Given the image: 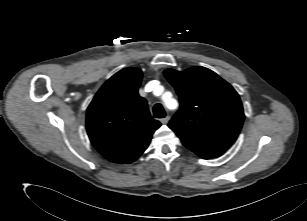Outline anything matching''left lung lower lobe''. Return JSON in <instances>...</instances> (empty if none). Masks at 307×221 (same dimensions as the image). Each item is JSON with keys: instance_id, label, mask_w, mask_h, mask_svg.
I'll return each instance as SVG.
<instances>
[{"instance_id": "1", "label": "left lung lower lobe", "mask_w": 307, "mask_h": 221, "mask_svg": "<svg viewBox=\"0 0 307 221\" xmlns=\"http://www.w3.org/2000/svg\"><path fill=\"white\" fill-rule=\"evenodd\" d=\"M186 147L204 159L219 157L225 152V151L202 148V147L193 146V145L186 146Z\"/></svg>"}]
</instances>
